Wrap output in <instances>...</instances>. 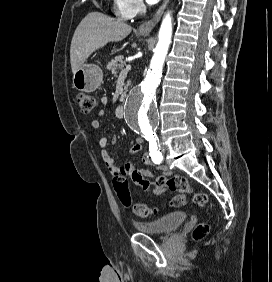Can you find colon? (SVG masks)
I'll use <instances>...</instances> for the list:
<instances>
[{
	"label": "colon",
	"instance_id": "colon-1",
	"mask_svg": "<svg viewBox=\"0 0 272 282\" xmlns=\"http://www.w3.org/2000/svg\"><path fill=\"white\" fill-rule=\"evenodd\" d=\"M76 101L80 110L84 113H90L96 107V99L87 93H78L76 95ZM128 174L129 169L127 167L120 168L113 179L114 188L121 203L125 207H132L134 213L140 217H148L158 213L159 209L157 207H150L143 203L134 204L132 202V196L127 180ZM130 178L132 182L139 187H144L150 182L148 177L138 171L132 172ZM154 181L165 185L171 191L179 192V194L174 196L169 203L172 207H180L184 204L185 199L182 195L183 193L192 195L193 202L199 207H206L209 203L207 194L203 192H195L185 177L174 176L169 179L159 177L155 178ZM209 230V223H200L193 230L192 237L195 241H200L208 234Z\"/></svg>",
	"mask_w": 272,
	"mask_h": 282
}]
</instances>
